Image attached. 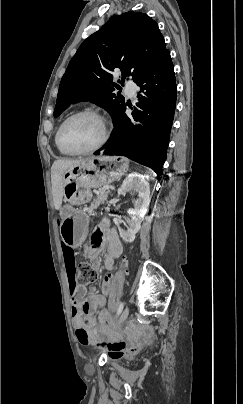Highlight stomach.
Here are the masks:
<instances>
[{
  "label": "stomach",
  "instance_id": "0dacf381",
  "mask_svg": "<svg viewBox=\"0 0 243 404\" xmlns=\"http://www.w3.org/2000/svg\"><path fill=\"white\" fill-rule=\"evenodd\" d=\"M128 166L126 158L97 156L87 158L65 171L63 196L67 205L61 210L60 231L67 246L79 247L88 233V215L74 206L89 202L91 188H99L119 179L128 170Z\"/></svg>",
  "mask_w": 243,
  "mask_h": 404
}]
</instances>
